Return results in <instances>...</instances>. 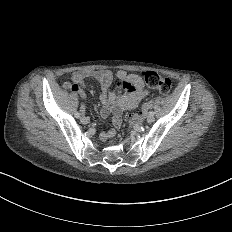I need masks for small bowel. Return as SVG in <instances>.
<instances>
[{
    "label": "small bowel",
    "instance_id": "c3829d8e",
    "mask_svg": "<svg viewBox=\"0 0 232 232\" xmlns=\"http://www.w3.org/2000/svg\"><path fill=\"white\" fill-rule=\"evenodd\" d=\"M117 74L119 81L111 86V71L109 69L70 70L68 72L70 78L63 84L64 88L80 94L85 101L87 99L85 79L93 78L97 81L104 103L101 115L105 117L110 111H114L115 129L102 133L100 135L102 141L115 135V130L120 127L122 114L125 111L134 109L142 98L152 95L151 91L144 87L143 79L139 75L130 74L125 69H119ZM86 109V104H82L80 108L81 120L85 118Z\"/></svg>",
    "mask_w": 232,
    "mask_h": 232
}]
</instances>
